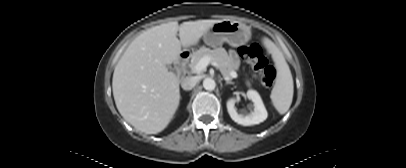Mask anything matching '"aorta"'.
Segmentation results:
<instances>
[{
  "mask_svg": "<svg viewBox=\"0 0 406 168\" xmlns=\"http://www.w3.org/2000/svg\"><path fill=\"white\" fill-rule=\"evenodd\" d=\"M203 87L205 90L212 91L216 87V83L212 78H206L203 81Z\"/></svg>",
  "mask_w": 406,
  "mask_h": 168,
  "instance_id": "obj_1",
  "label": "aorta"
}]
</instances>
